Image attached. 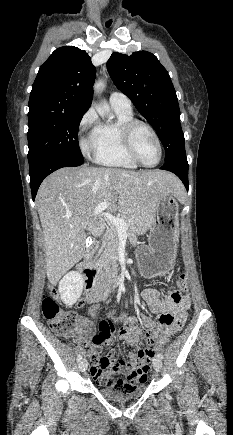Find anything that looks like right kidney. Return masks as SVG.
Here are the masks:
<instances>
[{"label":"right kidney","instance_id":"1","mask_svg":"<svg viewBox=\"0 0 233 435\" xmlns=\"http://www.w3.org/2000/svg\"><path fill=\"white\" fill-rule=\"evenodd\" d=\"M83 277L79 272L67 273L59 282L58 291L65 305H73L77 302L83 291Z\"/></svg>","mask_w":233,"mask_h":435}]
</instances>
